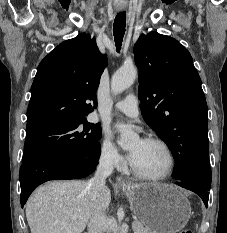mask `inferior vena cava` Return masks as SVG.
Listing matches in <instances>:
<instances>
[{
    "instance_id": "602c4592",
    "label": "inferior vena cava",
    "mask_w": 227,
    "mask_h": 233,
    "mask_svg": "<svg viewBox=\"0 0 227 233\" xmlns=\"http://www.w3.org/2000/svg\"><path fill=\"white\" fill-rule=\"evenodd\" d=\"M113 171V156L106 154L100 157L93 178L87 183V190L95 201L105 188V180ZM106 219L104 212H95L88 221V233H102L103 224Z\"/></svg>"
}]
</instances>
